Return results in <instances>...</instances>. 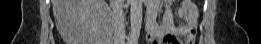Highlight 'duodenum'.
Returning <instances> with one entry per match:
<instances>
[{"label": "duodenum", "mask_w": 261, "mask_h": 44, "mask_svg": "<svg viewBox=\"0 0 261 44\" xmlns=\"http://www.w3.org/2000/svg\"><path fill=\"white\" fill-rule=\"evenodd\" d=\"M150 26H151V20H150V18H148V15H147V19H146V28H147V31H149Z\"/></svg>", "instance_id": "obj_1"}]
</instances>
